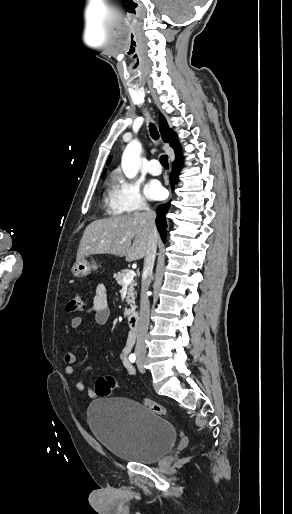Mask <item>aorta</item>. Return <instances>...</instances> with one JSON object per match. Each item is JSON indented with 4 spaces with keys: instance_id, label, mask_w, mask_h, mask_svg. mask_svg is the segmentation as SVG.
<instances>
[{
    "instance_id": "obj_1",
    "label": "aorta",
    "mask_w": 292,
    "mask_h": 514,
    "mask_svg": "<svg viewBox=\"0 0 292 514\" xmlns=\"http://www.w3.org/2000/svg\"><path fill=\"white\" fill-rule=\"evenodd\" d=\"M140 144L138 142H131L128 144L122 158L121 166L122 170L127 178H135L138 174V156H139Z\"/></svg>"
}]
</instances>
